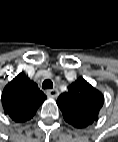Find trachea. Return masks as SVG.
I'll return each instance as SVG.
<instances>
[{"label":"trachea","instance_id":"3493384b","mask_svg":"<svg viewBox=\"0 0 118 142\" xmlns=\"http://www.w3.org/2000/svg\"><path fill=\"white\" fill-rule=\"evenodd\" d=\"M42 88L43 89H52L53 88V82L50 79L44 80L42 83Z\"/></svg>","mask_w":118,"mask_h":142}]
</instances>
